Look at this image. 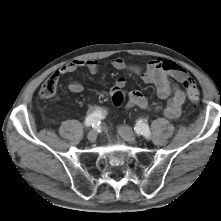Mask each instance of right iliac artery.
<instances>
[{"label": "right iliac artery", "instance_id": "obj_1", "mask_svg": "<svg viewBox=\"0 0 221 221\" xmlns=\"http://www.w3.org/2000/svg\"><path fill=\"white\" fill-rule=\"evenodd\" d=\"M103 118H104V114L102 111H100V110L94 111L90 115L87 116L84 124L86 127L92 126L95 128L100 124V121Z\"/></svg>", "mask_w": 221, "mask_h": 221}]
</instances>
